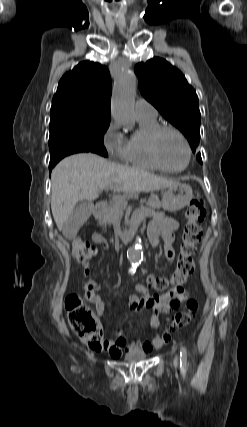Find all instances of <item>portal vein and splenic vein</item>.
<instances>
[{
	"label": "portal vein and splenic vein",
	"mask_w": 247,
	"mask_h": 427,
	"mask_svg": "<svg viewBox=\"0 0 247 427\" xmlns=\"http://www.w3.org/2000/svg\"><path fill=\"white\" fill-rule=\"evenodd\" d=\"M114 200L121 201L122 197L116 196V197H114ZM140 202L144 203V202H146V199H141Z\"/></svg>",
	"instance_id": "obj_1"
}]
</instances>
